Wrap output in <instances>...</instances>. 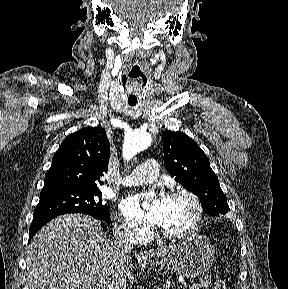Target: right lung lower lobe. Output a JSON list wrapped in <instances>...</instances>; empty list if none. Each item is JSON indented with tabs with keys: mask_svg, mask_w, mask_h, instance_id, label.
<instances>
[{
	"mask_svg": "<svg viewBox=\"0 0 288 289\" xmlns=\"http://www.w3.org/2000/svg\"><path fill=\"white\" fill-rule=\"evenodd\" d=\"M56 216H37L34 217L32 225L29 230V241L31 238L36 234V232L44 226L47 222L51 219L55 218Z\"/></svg>",
	"mask_w": 288,
	"mask_h": 289,
	"instance_id": "right-lung-lower-lobe-1",
	"label": "right lung lower lobe"
}]
</instances>
